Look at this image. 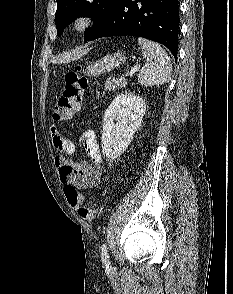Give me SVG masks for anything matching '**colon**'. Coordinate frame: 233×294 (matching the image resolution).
Returning a JSON list of instances; mask_svg holds the SVG:
<instances>
[{"label": "colon", "mask_w": 233, "mask_h": 294, "mask_svg": "<svg viewBox=\"0 0 233 294\" xmlns=\"http://www.w3.org/2000/svg\"><path fill=\"white\" fill-rule=\"evenodd\" d=\"M87 88V79L79 75V67L69 71L65 75V86L61 96L58 98L54 118L70 120L79 112L82 104L83 92ZM64 193L68 203L77 209L80 217L86 221H92L98 214L96 208L83 205L84 196L76 188L66 186Z\"/></svg>", "instance_id": "colon-1"}]
</instances>
